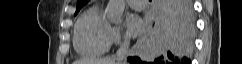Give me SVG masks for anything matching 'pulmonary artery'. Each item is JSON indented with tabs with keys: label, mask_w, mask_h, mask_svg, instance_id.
Here are the masks:
<instances>
[{
	"label": "pulmonary artery",
	"mask_w": 242,
	"mask_h": 64,
	"mask_svg": "<svg viewBox=\"0 0 242 64\" xmlns=\"http://www.w3.org/2000/svg\"><path fill=\"white\" fill-rule=\"evenodd\" d=\"M127 3L136 10H141L145 7V0H127Z\"/></svg>",
	"instance_id": "e3ab8cb5"
}]
</instances>
